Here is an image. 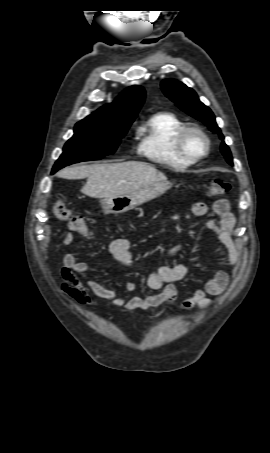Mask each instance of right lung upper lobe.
<instances>
[{
  "mask_svg": "<svg viewBox=\"0 0 270 453\" xmlns=\"http://www.w3.org/2000/svg\"><path fill=\"white\" fill-rule=\"evenodd\" d=\"M145 99L141 86H131L123 91L113 103L107 104L84 120H95L115 126H129L137 116Z\"/></svg>",
  "mask_w": 270,
  "mask_h": 453,
  "instance_id": "obj_1",
  "label": "right lung upper lobe"
}]
</instances>
